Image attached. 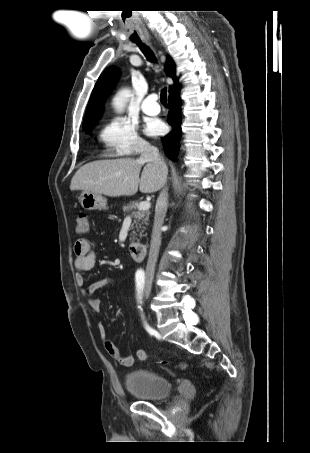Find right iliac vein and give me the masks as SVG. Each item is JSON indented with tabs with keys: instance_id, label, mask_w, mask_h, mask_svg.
<instances>
[{
	"instance_id": "1",
	"label": "right iliac vein",
	"mask_w": 310,
	"mask_h": 453,
	"mask_svg": "<svg viewBox=\"0 0 310 453\" xmlns=\"http://www.w3.org/2000/svg\"><path fill=\"white\" fill-rule=\"evenodd\" d=\"M150 292H151V288H150L149 286H148V287H146V293H147V295H149V294H150Z\"/></svg>"
}]
</instances>
